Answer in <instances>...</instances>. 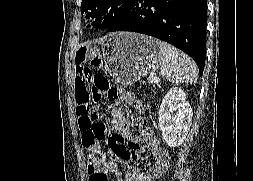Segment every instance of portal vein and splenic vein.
Masks as SVG:
<instances>
[{"mask_svg":"<svg viewBox=\"0 0 253 181\" xmlns=\"http://www.w3.org/2000/svg\"><path fill=\"white\" fill-rule=\"evenodd\" d=\"M151 81H152V82H154V83H158V82L160 81V79H159V78L154 77Z\"/></svg>","mask_w":253,"mask_h":181,"instance_id":"portal-vein-and-splenic-vein-1","label":"portal vein and splenic vein"}]
</instances>
